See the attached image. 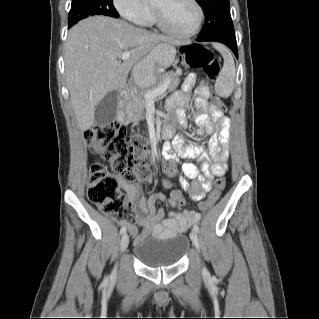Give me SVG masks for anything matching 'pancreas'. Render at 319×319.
I'll return each instance as SVG.
<instances>
[{
    "instance_id": "obj_1",
    "label": "pancreas",
    "mask_w": 319,
    "mask_h": 319,
    "mask_svg": "<svg viewBox=\"0 0 319 319\" xmlns=\"http://www.w3.org/2000/svg\"><path fill=\"white\" fill-rule=\"evenodd\" d=\"M181 76V69H177L176 72L170 71L162 75L158 81H155L149 90H153L168 81V92H172L178 87ZM145 93L146 92L132 93V98L126 106L128 121L137 124L140 120L145 118V109L147 105Z\"/></svg>"
}]
</instances>
